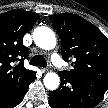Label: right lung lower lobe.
<instances>
[{
  "label": "right lung lower lobe",
  "mask_w": 108,
  "mask_h": 108,
  "mask_svg": "<svg viewBox=\"0 0 108 108\" xmlns=\"http://www.w3.org/2000/svg\"><path fill=\"white\" fill-rule=\"evenodd\" d=\"M36 78V73H33L27 80L21 84L10 88L0 90V108H14L24 98L30 83Z\"/></svg>",
  "instance_id": "right-lung-lower-lobe-1"
}]
</instances>
